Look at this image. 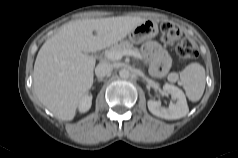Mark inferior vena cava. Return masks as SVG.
<instances>
[{
    "label": "inferior vena cava",
    "instance_id": "602c4592",
    "mask_svg": "<svg viewBox=\"0 0 238 158\" xmlns=\"http://www.w3.org/2000/svg\"><path fill=\"white\" fill-rule=\"evenodd\" d=\"M113 70V66L107 62L99 63L95 68V74L98 78H103L110 74Z\"/></svg>",
    "mask_w": 238,
    "mask_h": 158
}]
</instances>
